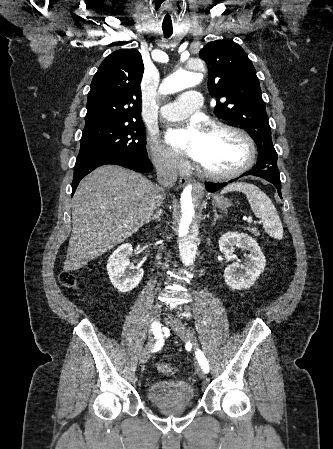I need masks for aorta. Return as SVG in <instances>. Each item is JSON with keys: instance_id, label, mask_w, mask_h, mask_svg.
<instances>
[{"instance_id": "obj_1", "label": "aorta", "mask_w": 333, "mask_h": 449, "mask_svg": "<svg viewBox=\"0 0 333 449\" xmlns=\"http://www.w3.org/2000/svg\"><path fill=\"white\" fill-rule=\"evenodd\" d=\"M185 69L176 71L160 84L162 94H172L186 87L200 84L202 74L206 71V64L202 58L189 57L184 62ZM204 194V185L189 183L181 194L182 217L176 230L179 253L183 264L192 265L198 249L199 226L193 208L199 206Z\"/></svg>"}]
</instances>
